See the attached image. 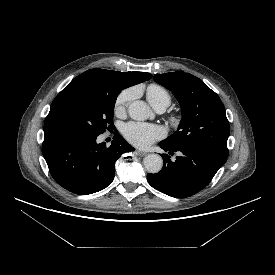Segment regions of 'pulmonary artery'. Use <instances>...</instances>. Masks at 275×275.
I'll list each match as a JSON object with an SVG mask.
<instances>
[{"label": "pulmonary artery", "instance_id": "obj_1", "mask_svg": "<svg viewBox=\"0 0 275 275\" xmlns=\"http://www.w3.org/2000/svg\"><path fill=\"white\" fill-rule=\"evenodd\" d=\"M156 110H157L158 112H163V111L165 110V107H158V108H156Z\"/></svg>", "mask_w": 275, "mask_h": 275}]
</instances>
